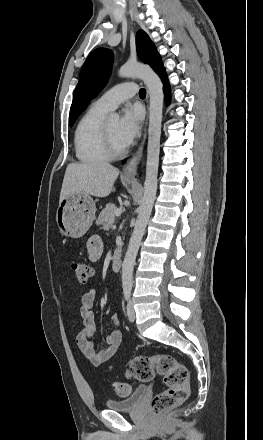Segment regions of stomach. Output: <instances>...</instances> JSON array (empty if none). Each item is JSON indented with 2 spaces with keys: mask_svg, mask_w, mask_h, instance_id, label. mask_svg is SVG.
<instances>
[{
  "mask_svg": "<svg viewBox=\"0 0 263 440\" xmlns=\"http://www.w3.org/2000/svg\"><path fill=\"white\" fill-rule=\"evenodd\" d=\"M95 211V201L90 195L70 194L59 201L56 222L64 235L80 238L92 225Z\"/></svg>",
  "mask_w": 263,
  "mask_h": 440,
  "instance_id": "1",
  "label": "stomach"
}]
</instances>
